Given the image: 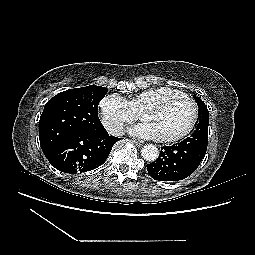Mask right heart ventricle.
<instances>
[{"mask_svg": "<svg viewBox=\"0 0 255 255\" xmlns=\"http://www.w3.org/2000/svg\"><path fill=\"white\" fill-rule=\"evenodd\" d=\"M174 90L175 89L165 86L149 88L136 94L132 99L128 100V103L138 114L146 105L155 101L158 97L170 93Z\"/></svg>", "mask_w": 255, "mask_h": 255, "instance_id": "e07e8e85", "label": "right heart ventricle"}]
</instances>
